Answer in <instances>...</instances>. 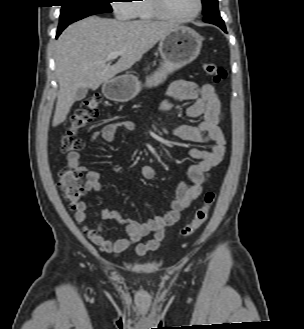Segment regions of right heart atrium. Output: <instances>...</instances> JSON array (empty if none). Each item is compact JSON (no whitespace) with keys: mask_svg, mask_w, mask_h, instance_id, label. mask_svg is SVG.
I'll return each instance as SVG.
<instances>
[{"mask_svg":"<svg viewBox=\"0 0 304 329\" xmlns=\"http://www.w3.org/2000/svg\"><path fill=\"white\" fill-rule=\"evenodd\" d=\"M112 7L119 19H130L133 16V9L130 0H114Z\"/></svg>","mask_w":304,"mask_h":329,"instance_id":"obj_1","label":"right heart atrium"}]
</instances>
